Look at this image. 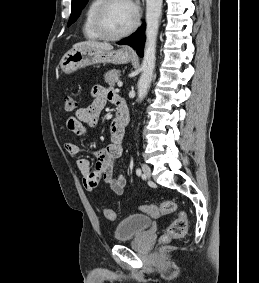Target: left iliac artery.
<instances>
[{
  "label": "left iliac artery",
  "mask_w": 259,
  "mask_h": 283,
  "mask_svg": "<svg viewBox=\"0 0 259 283\" xmlns=\"http://www.w3.org/2000/svg\"><path fill=\"white\" fill-rule=\"evenodd\" d=\"M136 174H137L138 176L141 175V169H140V168H137V169H136Z\"/></svg>",
  "instance_id": "44dca946"
}]
</instances>
